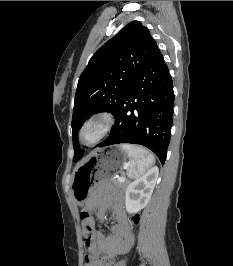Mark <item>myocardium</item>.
<instances>
[{
    "label": "myocardium",
    "instance_id": "myocardium-1",
    "mask_svg": "<svg viewBox=\"0 0 233 266\" xmlns=\"http://www.w3.org/2000/svg\"><path fill=\"white\" fill-rule=\"evenodd\" d=\"M115 123V116L111 111L103 110L90 115L81 125L78 132L79 142L87 147L100 143L112 130ZM90 126L98 127L96 137L91 141L84 139V132Z\"/></svg>",
    "mask_w": 233,
    "mask_h": 266
}]
</instances>
